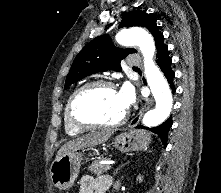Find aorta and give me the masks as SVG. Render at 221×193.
I'll return each instance as SVG.
<instances>
[{"label": "aorta", "instance_id": "762f6f07", "mask_svg": "<svg viewBox=\"0 0 221 193\" xmlns=\"http://www.w3.org/2000/svg\"><path fill=\"white\" fill-rule=\"evenodd\" d=\"M120 45H137L144 57V72L156 101L155 109L148 111L142 123L146 127L160 125L170 115L173 99L168 83L153 61L155 43L150 34L141 28L124 29L116 35Z\"/></svg>", "mask_w": 221, "mask_h": 193}]
</instances>
